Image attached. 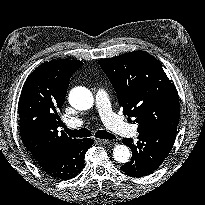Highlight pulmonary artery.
Segmentation results:
<instances>
[{"mask_svg": "<svg viewBox=\"0 0 205 205\" xmlns=\"http://www.w3.org/2000/svg\"><path fill=\"white\" fill-rule=\"evenodd\" d=\"M95 104L100 113V116L112 132L119 135H135L137 133V127L126 123L121 119L112 109L109 101L108 94L105 89L99 88L95 96ZM83 124V120L74 119L68 121L70 127H80Z\"/></svg>", "mask_w": 205, "mask_h": 205, "instance_id": "1", "label": "pulmonary artery"}]
</instances>
